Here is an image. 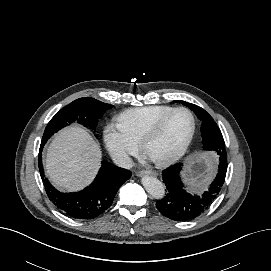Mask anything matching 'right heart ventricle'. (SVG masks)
<instances>
[{"instance_id":"e07e8e85","label":"right heart ventricle","mask_w":271,"mask_h":271,"mask_svg":"<svg viewBox=\"0 0 271 271\" xmlns=\"http://www.w3.org/2000/svg\"><path fill=\"white\" fill-rule=\"evenodd\" d=\"M173 108L167 105H153L129 109L118 116V125L131 140L140 143L143 134Z\"/></svg>"}]
</instances>
